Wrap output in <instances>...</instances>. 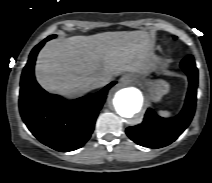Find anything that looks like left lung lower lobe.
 I'll list each match as a JSON object with an SVG mask.
<instances>
[{"mask_svg": "<svg viewBox=\"0 0 212 183\" xmlns=\"http://www.w3.org/2000/svg\"><path fill=\"white\" fill-rule=\"evenodd\" d=\"M181 68L189 79V89L184 107L174 118H162L148 109L141 124L128 127L127 135L137 144L149 148H161L171 144L190 124L196 107L198 70L191 55L181 62Z\"/></svg>", "mask_w": 212, "mask_h": 183, "instance_id": "1", "label": "left lung lower lobe"}]
</instances>
